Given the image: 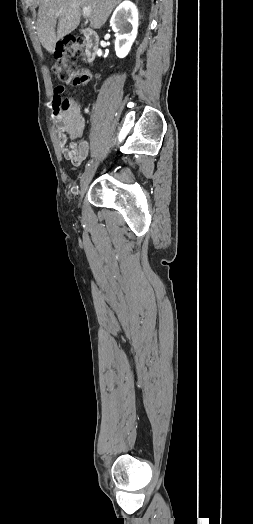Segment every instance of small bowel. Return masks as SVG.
Masks as SVG:
<instances>
[{
    "label": "small bowel",
    "instance_id": "c3829d8e",
    "mask_svg": "<svg viewBox=\"0 0 253 524\" xmlns=\"http://www.w3.org/2000/svg\"><path fill=\"white\" fill-rule=\"evenodd\" d=\"M64 86H57L53 104L64 91ZM85 119L82 114L80 103L73 101L70 108L57 119L56 134L62 155L73 165L79 166L87 158L89 153V143L87 141L78 142L85 130ZM70 140V142H68Z\"/></svg>",
    "mask_w": 253,
    "mask_h": 524
}]
</instances>
